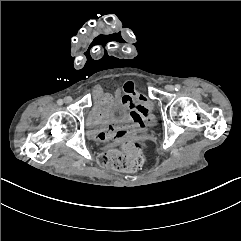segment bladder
Segmentation results:
<instances>
[{"label": "bladder", "mask_w": 241, "mask_h": 241, "mask_svg": "<svg viewBox=\"0 0 241 241\" xmlns=\"http://www.w3.org/2000/svg\"><path fill=\"white\" fill-rule=\"evenodd\" d=\"M110 119L116 122L123 121L127 115V109L122 101H118L110 112Z\"/></svg>", "instance_id": "31cf9c89"}]
</instances>
